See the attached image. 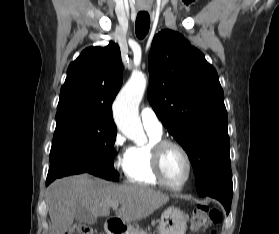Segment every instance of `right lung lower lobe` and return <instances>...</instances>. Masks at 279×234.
I'll return each mask as SVG.
<instances>
[{"label":"right lung lower lobe","mask_w":279,"mask_h":234,"mask_svg":"<svg viewBox=\"0 0 279 234\" xmlns=\"http://www.w3.org/2000/svg\"><path fill=\"white\" fill-rule=\"evenodd\" d=\"M78 173H81V172H77V173H73V174H78ZM47 184H49V183H47Z\"/></svg>","instance_id":"obj_1"}]
</instances>
